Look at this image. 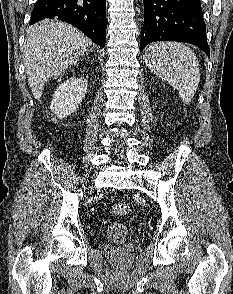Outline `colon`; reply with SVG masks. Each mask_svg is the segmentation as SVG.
Returning <instances> with one entry per match:
<instances>
[{
	"label": "colon",
	"instance_id": "5ec220e1",
	"mask_svg": "<svg viewBox=\"0 0 233 294\" xmlns=\"http://www.w3.org/2000/svg\"><path fill=\"white\" fill-rule=\"evenodd\" d=\"M110 212L114 217H121L129 212V206L126 203H116L112 205Z\"/></svg>",
	"mask_w": 233,
	"mask_h": 294
}]
</instances>
